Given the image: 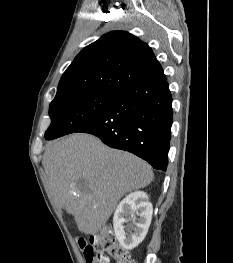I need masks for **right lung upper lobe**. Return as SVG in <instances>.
Returning a JSON list of instances; mask_svg holds the SVG:
<instances>
[{
	"mask_svg": "<svg viewBox=\"0 0 233 263\" xmlns=\"http://www.w3.org/2000/svg\"><path fill=\"white\" fill-rule=\"evenodd\" d=\"M161 73L146 43L128 32L113 31L76 56L62 75L56 96L86 90L118 93Z\"/></svg>",
	"mask_w": 233,
	"mask_h": 263,
	"instance_id": "1",
	"label": "right lung upper lobe"
}]
</instances>
